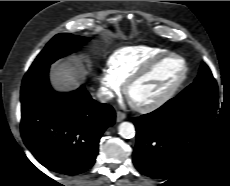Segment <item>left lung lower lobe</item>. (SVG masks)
I'll return each mask as SVG.
<instances>
[{
  "mask_svg": "<svg viewBox=\"0 0 230 186\" xmlns=\"http://www.w3.org/2000/svg\"><path fill=\"white\" fill-rule=\"evenodd\" d=\"M218 91L177 96L159 109L134 118L133 162L153 178H170L196 156L213 129Z\"/></svg>",
  "mask_w": 230,
  "mask_h": 186,
  "instance_id": "1",
  "label": "left lung lower lobe"
}]
</instances>
